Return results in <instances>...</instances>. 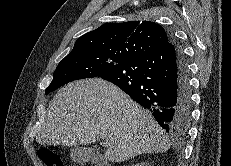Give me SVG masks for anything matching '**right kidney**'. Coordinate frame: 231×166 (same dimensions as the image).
Here are the masks:
<instances>
[{
	"label": "right kidney",
	"mask_w": 231,
	"mask_h": 166,
	"mask_svg": "<svg viewBox=\"0 0 231 166\" xmlns=\"http://www.w3.org/2000/svg\"><path fill=\"white\" fill-rule=\"evenodd\" d=\"M133 166H150V164L148 162H141V163H137Z\"/></svg>",
	"instance_id": "right-kidney-1"
}]
</instances>
